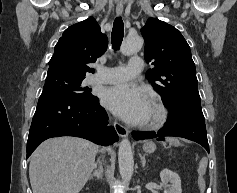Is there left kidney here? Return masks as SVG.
Wrapping results in <instances>:
<instances>
[{"label": "left kidney", "instance_id": "left-kidney-1", "mask_svg": "<svg viewBox=\"0 0 237 193\" xmlns=\"http://www.w3.org/2000/svg\"><path fill=\"white\" fill-rule=\"evenodd\" d=\"M160 178L164 186V193H182L181 179L177 173L163 169L160 173Z\"/></svg>", "mask_w": 237, "mask_h": 193}]
</instances>
